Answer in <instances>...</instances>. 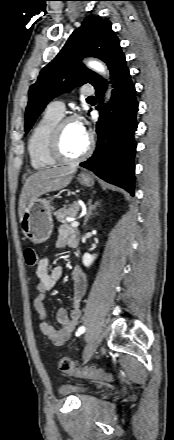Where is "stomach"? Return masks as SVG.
Segmentation results:
<instances>
[{
  "label": "stomach",
  "mask_w": 174,
  "mask_h": 440,
  "mask_svg": "<svg viewBox=\"0 0 174 440\" xmlns=\"http://www.w3.org/2000/svg\"><path fill=\"white\" fill-rule=\"evenodd\" d=\"M81 185L91 187L94 179L89 174H80L77 178ZM51 200L37 198L24 211L22 217V231L27 239L35 244L45 242L53 230Z\"/></svg>",
  "instance_id": "obj_1"
}]
</instances>
